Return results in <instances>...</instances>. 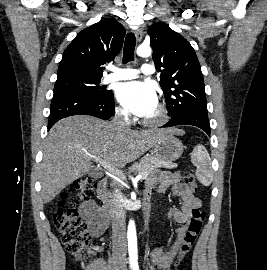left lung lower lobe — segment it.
I'll return each instance as SVG.
<instances>
[{
  "instance_id": "1",
  "label": "left lung lower lobe",
  "mask_w": 267,
  "mask_h": 270,
  "mask_svg": "<svg viewBox=\"0 0 267 270\" xmlns=\"http://www.w3.org/2000/svg\"><path fill=\"white\" fill-rule=\"evenodd\" d=\"M177 125H193L201 128L210 136V123L208 115L201 113H185L183 115L172 117L163 127H172Z\"/></svg>"
}]
</instances>
